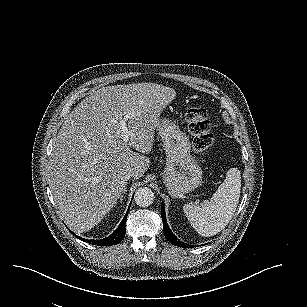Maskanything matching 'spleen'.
<instances>
[{
  "label": "spleen",
  "mask_w": 307,
  "mask_h": 307,
  "mask_svg": "<svg viewBox=\"0 0 307 307\" xmlns=\"http://www.w3.org/2000/svg\"><path fill=\"white\" fill-rule=\"evenodd\" d=\"M240 192L241 173L238 168H231L210 200H204L200 205L186 204L183 211L198 234L203 237L214 236L232 219Z\"/></svg>",
  "instance_id": "spleen-1"
}]
</instances>
